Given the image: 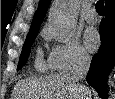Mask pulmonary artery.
Segmentation results:
<instances>
[{"label":"pulmonary artery","mask_w":115,"mask_h":99,"mask_svg":"<svg viewBox=\"0 0 115 99\" xmlns=\"http://www.w3.org/2000/svg\"><path fill=\"white\" fill-rule=\"evenodd\" d=\"M85 19L88 23H95L97 22V15L95 13L94 10H89L86 14H85Z\"/></svg>","instance_id":"1"}]
</instances>
